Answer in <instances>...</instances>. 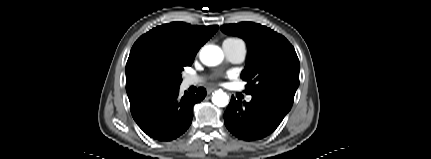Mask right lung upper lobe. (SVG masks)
<instances>
[{"instance_id":"right-lung-upper-lobe-1","label":"right lung upper lobe","mask_w":431,"mask_h":159,"mask_svg":"<svg viewBox=\"0 0 431 159\" xmlns=\"http://www.w3.org/2000/svg\"><path fill=\"white\" fill-rule=\"evenodd\" d=\"M217 25L195 26L172 22L153 28L132 46L126 64V91L130 105L167 88L158 83L146 67V57L156 53L193 61L198 50L218 30Z\"/></svg>"}]
</instances>
